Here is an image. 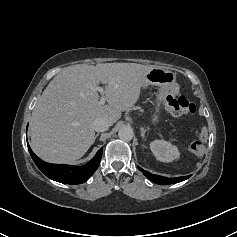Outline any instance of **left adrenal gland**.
<instances>
[{
  "label": "left adrenal gland",
  "instance_id": "obj_1",
  "mask_svg": "<svg viewBox=\"0 0 237 237\" xmlns=\"http://www.w3.org/2000/svg\"><path fill=\"white\" fill-rule=\"evenodd\" d=\"M140 129H141V137H142V139H144L145 138V133L148 129H144L143 127H141Z\"/></svg>",
  "mask_w": 237,
  "mask_h": 237
}]
</instances>
